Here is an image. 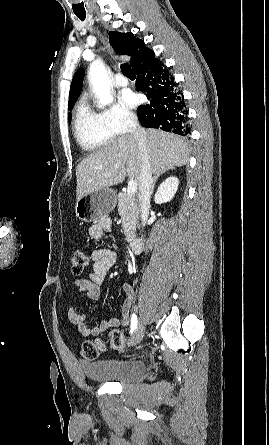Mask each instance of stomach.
<instances>
[{
    "instance_id": "stomach-1",
    "label": "stomach",
    "mask_w": 269,
    "mask_h": 445,
    "mask_svg": "<svg viewBox=\"0 0 269 445\" xmlns=\"http://www.w3.org/2000/svg\"><path fill=\"white\" fill-rule=\"evenodd\" d=\"M116 203V192L108 187L102 188L77 200L75 213L83 222H98L113 211Z\"/></svg>"
}]
</instances>
